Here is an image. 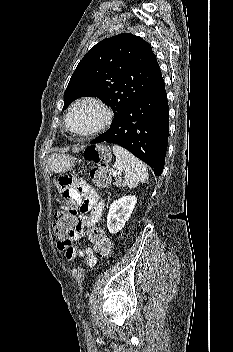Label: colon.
Segmentation results:
<instances>
[{"label":"colon","mask_w":233,"mask_h":352,"mask_svg":"<svg viewBox=\"0 0 233 352\" xmlns=\"http://www.w3.org/2000/svg\"><path fill=\"white\" fill-rule=\"evenodd\" d=\"M84 158L94 164L91 170V179L99 187H105L110 182V163L112 156L110 152L100 145H90L84 151ZM74 205L65 201L54 216L53 228L59 240L66 244L68 236L76 225ZM89 240L98 259L109 258L112 252V243L103 229L91 228L88 232Z\"/></svg>","instance_id":"colon-1"}]
</instances>
